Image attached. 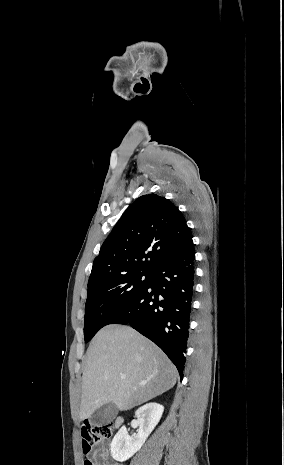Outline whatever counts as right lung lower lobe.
Listing matches in <instances>:
<instances>
[{
    "label": "right lung lower lobe",
    "instance_id": "98d812e1",
    "mask_svg": "<svg viewBox=\"0 0 284 465\" xmlns=\"http://www.w3.org/2000/svg\"><path fill=\"white\" fill-rule=\"evenodd\" d=\"M193 241L150 275L146 287L109 324H130L158 345L177 367L186 361L194 299Z\"/></svg>",
    "mask_w": 284,
    "mask_h": 465
}]
</instances>
